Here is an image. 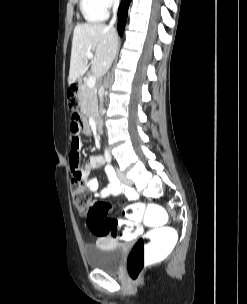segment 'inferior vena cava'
<instances>
[{
    "instance_id": "602c4592",
    "label": "inferior vena cava",
    "mask_w": 247,
    "mask_h": 304,
    "mask_svg": "<svg viewBox=\"0 0 247 304\" xmlns=\"http://www.w3.org/2000/svg\"><path fill=\"white\" fill-rule=\"evenodd\" d=\"M118 6H119V0H114L113 1V18L110 22V27L113 26V24L115 23L116 19H117V10H118ZM103 93H104V88L101 87L99 89V98H100V103H102L103 101ZM100 112H102V107Z\"/></svg>"
}]
</instances>
